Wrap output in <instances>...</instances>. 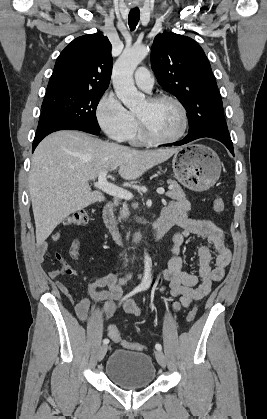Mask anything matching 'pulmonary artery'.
I'll use <instances>...</instances> for the list:
<instances>
[{
    "instance_id": "e3ab8cb5",
    "label": "pulmonary artery",
    "mask_w": 267,
    "mask_h": 419,
    "mask_svg": "<svg viewBox=\"0 0 267 419\" xmlns=\"http://www.w3.org/2000/svg\"><path fill=\"white\" fill-rule=\"evenodd\" d=\"M134 80L140 89L146 92H150L152 90L154 79L147 68H138L134 74Z\"/></svg>"
}]
</instances>
